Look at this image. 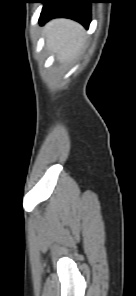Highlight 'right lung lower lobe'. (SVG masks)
I'll list each match as a JSON object with an SVG mask.
<instances>
[{"label":"right lung lower lobe","mask_w":136,"mask_h":296,"mask_svg":"<svg viewBox=\"0 0 136 296\" xmlns=\"http://www.w3.org/2000/svg\"><path fill=\"white\" fill-rule=\"evenodd\" d=\"M94 0H43L44 4L40 15V24L56 17H66L81 23L88 28L91 21L90 4Z\"/></svg>","instance_id":"obj_1"}]
</instances>
